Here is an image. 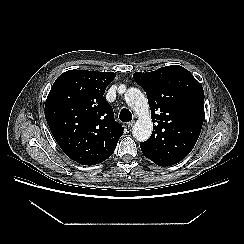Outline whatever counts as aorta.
Wrapping results in <instances>:
<instances>
[{
    "mask_svg": "<svg viewBox=\"0 0 244 244\" xmlns=\"http://www.w3.org/2000/svg\"><path fill=\"white\" fill-rule=\"evenodd\" d=\"M124 99L138 115L132 130L133 137L140 142L146 141L153 130L147 98L139 89L131 87L125 92Z\"/></svg>",
    "mask_w": 244,
    "mask_h": 244,
    "instance_id": "aorta-1",
    "label": "aorta"
}]
</instances>
